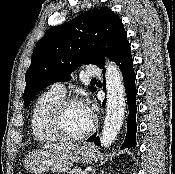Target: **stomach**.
I'll use <instances>...</instances> for the list:
<instances>
[{
	"mask_svg": "<svg viewBox=\"0 0 175 174\" xmlns=\"http://www.w3.org/2000/svg\"><path fill=\"white\" fill-rule=\"evenodd\" d=\"M94 159V149L84 144L72 151L59 149L32 151L25 158L24 165L32 174H42L48 170L66 172L74 163L89 164Z\"/></svg>",
	"mask_w": 175,
	"mask_h": 174,
	"instance_id": "1",
	"label": "stomach"
}]
</instances>
